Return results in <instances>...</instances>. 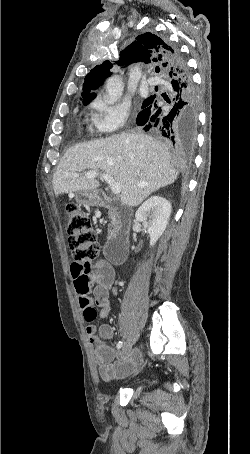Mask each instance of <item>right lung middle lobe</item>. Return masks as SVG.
<instances>
[{
  "instance_id": "dd1d6c3e",
  "label": "right lung middle lobe",
  "mask_w": 250,
  "mask_h": 454,
  "mask_svg": "<svg viewBox=\"0 0 250 454\" xmlns=\"http://www.w3.org/2000/svg\"><path fill=\"white\" fill-rule=\"evenodd\" d=\"M145 101H146V100H145ZM145 101H144V102H145ZM144 102H143V103H144ZM88 103H89L88 101H86V102H83V104H88Z\"/></svg>"
}]
</instances>
